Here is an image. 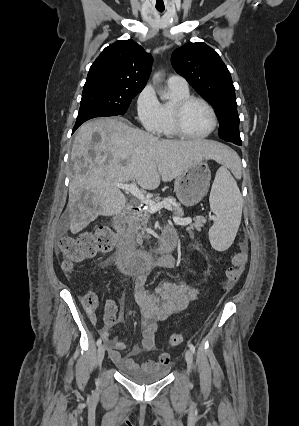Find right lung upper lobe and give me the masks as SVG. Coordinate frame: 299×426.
I'll return each instance as SVG.
<instances>
[{"label": "right lung upper lobe", "mask_w": 299, "mask_h": 426, "mask_svg": "<svg viewBox=\"0 0 299 426\" xmlns=\"http://www.w3.org/2000/svg\"><path fill=\"white\" fill-rule=\"evenodd\" d=\"M153 59L133 40L106 47L90 67L85 85L107 84L142 90L150 76Z\"/></svg>", "instance_id": "cb5924a9"}]
</instances>
